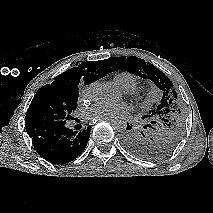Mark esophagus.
Here are the masks:
<instances>
[{"label": "esophagus", "instance_id": "obj_1", "mask_svg": "<svg viewBox=\"0 0 213 213\" xmlns=\"http://www.w3.org/2000/svg\"><path fill=\"white\" fill-rule=\"evenodd\" d=\"M102 120H112V117H108V118H104V119H99V121H102Z\"/></svg>", "mask_w": 213, "mask_h": 213}]
</instances>
